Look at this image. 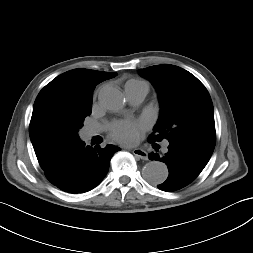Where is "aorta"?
<instances>
[{"label": "aorta", "instance_id": "1", "mask_svg": "<svg viewBox=\"0 0 253 253\" xmlns=\"http://www.w3.org/2000/svg\"><path fill=\"white\" fill-rule=\"evenodd\" d=\"M98 101L103 108L113 112L122 110L125 105L123 93L111 86L99 91ZM142 176L151 185L162 184L168 177V169L163 162L150 161L143 167Z\"/></svg>", "mask_w": 253, "mask_h": 253}]
</instances>
